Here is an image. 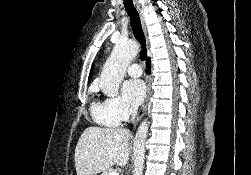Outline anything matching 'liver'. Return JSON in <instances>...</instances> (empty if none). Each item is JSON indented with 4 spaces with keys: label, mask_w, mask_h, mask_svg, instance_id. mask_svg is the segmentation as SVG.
I'll return each mask as SVG.
<instances>
[{
    "label": "liver",
    "mask_w": 251,
    "mask_h": 175,
    "mask_svg": "<svg viewBox=\"0 0 251 175\" xmlns=\"http://www.w3.org/2000/svg\"><path fill=\"white\" fill-rule=\"evenodd\" d=\"M130 137V131L122 127H86L75 147L77 175H96L105 167L126 165Z\"/></svg>",
    "instance_id": "6515ba94"
}]
</instances>
